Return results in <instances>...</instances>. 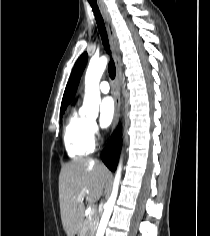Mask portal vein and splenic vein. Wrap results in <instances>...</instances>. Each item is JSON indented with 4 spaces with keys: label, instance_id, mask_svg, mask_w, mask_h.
Instances as JSON below:
<instances>
[{
    "label": "portal vein and splenic vein",
    "instance_id": "obj_1",
    "mask_svg": "<svg viewBox=\"0 0 210 236\" xmlns=\"http://www.w3.org/2000/svg\"><path fill=\"white\" fill-rule=\"evenodd\" d=\"M94 214H95V210L92 209V210L90 211V217L93 216Z\"/></svg>",
    "mask_w": 210,
    "mask_h": 236
}]
</instances>
